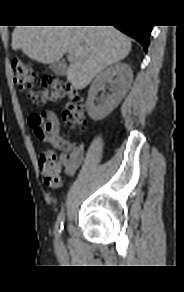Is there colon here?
Returning <instances> with one entry per match:
<instances>
[{"label":"colon","mask_w":184,"mask_h":292,"mask_svg":"<svg viewBox=\"0 0 184 292\" xmlns=\"http://www.w3.org/2000/svg\"><path fill=\"white\" fill-rule=\"evenodd\" d=\"M11 66L15 84L21 90L30 89L35 79L33 67L20 57H13ZM64 97H67L68 100L61 113L62 120L73 128H84L86 120L83 97L69 84L61 81L55 75H48L43 79L41 90L29 92L30 100L39 106L59 101ZM30 124L38 140L54 147V150H45L40 154L39 167L45 184L57 189L62 185L61 164L57 153L60 156L66 154L69 146L64 142L56 141L58 124L53 113L44 111L41 114H35L31 116Z\"/></svg>","instance_id":"5ec220e1"}]
</instances>
